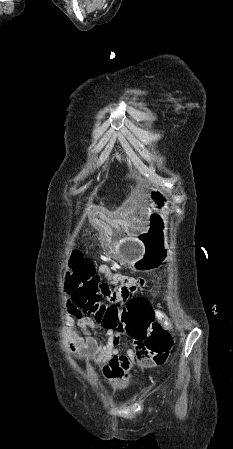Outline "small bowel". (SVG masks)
<instances>
[{
	"instance_id": "1",
	"label": "small bowel",
	"mask_w": 233,
	"mask_h": 449,
	"mask_svg": "<svg viewBox=\"0 0 233 449\" xmlns=\"http://www.w3.org/2000/svg\"><path fill=\"white\" fill-rule=\"evenodd\" d=\"M98 272L104 278L99 290L102 292L100 300L106 307L115 302L116 296H119L118 301H129L130 296H135L144 285V280L139 276L120 274L118 270H111L105 264L98 266ZM66 305L85 334L84 339L71 337L72 352L93 359L101 366L102 374L107 380L126 384L135 367L148 370L166 362L168 354H156L150 349H136L135 343H131L125 348L124 353H121L120 343L125 337L124 334H120L116 328H105L106 335L103 341L94 334L95 327L91 315L84 314L76 308L70 299L67 300ZM154 313V321H158L164 331L172 329V323L166 314L157 310H154Z\"/></svg>"
}]
</instances>
